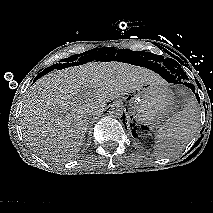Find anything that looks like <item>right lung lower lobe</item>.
I'll list each match as a JSON object with an SVG mask.
<instances>
[{
	"label": "right lung lower lobe",
	"mask_w": 213,
	"mask_h": 213,
	"mask_svg": "<svg viewBox=\"0 0 213 213\" xmlns=\"http://www.w3.org/2000/svg\"><path fill=\"white\" fill-rule=\"evenodd\" d=\"M70 64H73V63H70ZM70 64L68 63H64V64H55V65H52L48 68H46L43 72H41V76L42 75H45L46 73L50 72L51 70L57 68V69H60V68H63V67H67V66H70ZM40 74L38 75V77L40 76Z\"/></svg>",
	"instance_id": "98d812e1"
}]
</instances>
